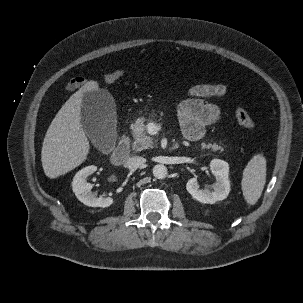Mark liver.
<instances>
[{
	"label": "liver",
	"mask_w": 303,
	"mask_h": 303,
	"mask_svg": "<svg viewBox=\"0 0 303 303\" xmlns=\"http://www.w3.org/2000/svg\"><path fill=\"white\" fill-rule=\"evenodd\" d=\"M94 90H98V83L87 82L66 101L51 122L41 151L47 177L64 175L86 160L90 145L81 125V104L84 93Z\"/></svg>",
	"instance_id": "1"
}]
</instances>
